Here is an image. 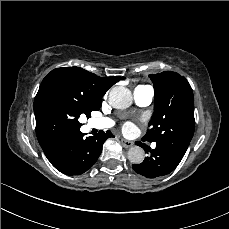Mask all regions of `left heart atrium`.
Masks as SVG:
<instances>
[{
  "mask_svg": "<svg viewBox=\"0 0 229 229\" xmlns=\"http://www.w3.org/2000/svg\"><path fill=\"white\" fill-rule=\"evenodd\" d=\"M122 127H123V130L127 133H130L136 130V126L132 122H125Z\"/></svg>",
  "mask_w": 229,
  "mask_h": 229,
  "instance_id": "1",
  "label": "left heart atrium"
}]
</instances>
